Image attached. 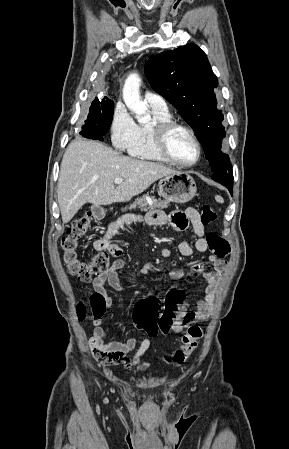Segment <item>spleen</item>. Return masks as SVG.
Masks as SVG:
<instances>
[{"mask_svg": "<svg viewBox=\"0 0 289 449\" xmlns=\"http://www.w3.org/2000/svg\"><path fill=\"white\" fill-rule=\"evenodd\" d=\"M216 200H217L219 203H223V202H224L223 198H221V197H217Z\"/></svg>", "mask_w": 289, "mask_h": 449, "instance_id": "spleen-1", "label": "spleen"}]
</instances>
